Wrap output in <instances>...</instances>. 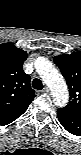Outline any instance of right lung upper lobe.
Listing matches in <instances>:
<instances>
[{"label":"right lung upper lobe","instance_id":"cb5924a9","mask_svg":"<svg viewBox=\"0 0 81 155\" xmlns=\"http://www.w3.org/2000/svg\"><path fill=\"white\" fill-rule=\"evenodd\" d=\"M27 52L13 44L0 46V124L7 125L20 117L35 97L30 76L22 69Z\"/></svg>","mask_w":81,"mask_h":155}]
</instances>
